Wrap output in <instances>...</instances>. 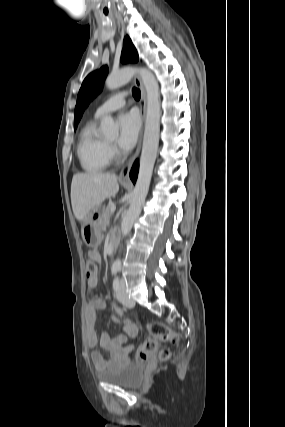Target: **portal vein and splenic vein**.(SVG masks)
I'll list each match as a JSON object with an SVG mask.
<instances>
[{"label":"portal vein and splenic vein","mask_w":285,"mask_h":427,"mask_svg":"<svg viewBox=\"0 0 285 427\" xmlns=\"http://www.w3.org/2000/svg\"><path fill=\"white\" fill-rule=\"evenodd\" d=\"M115 210H116V207H115V206H112V207H111V212H112V213H114V212H115Z\"/></svg>","instance_id":"portal-vein-and-splenic-vein-1"}]
</instances>
